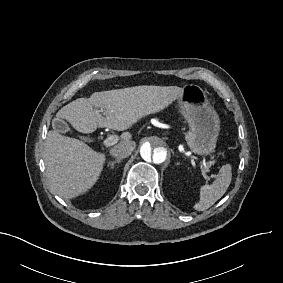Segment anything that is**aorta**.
<instances>
[{
	"label": "aorta",
	"mask_w": 283,
	"mask_h": 283,
	"mask_svg": "<svg viewBox=\"0 0 283 283\" xmlns=\"http://www.w3.org/2000/svg\"><path fill=\"white\" fill-rule=\"evenodd\" d=\"M169 146L166 140L157 135H149L142 139L140 156L144 165L148 167H160L169 159Z\"/></svg>",
	"instance_id": "1"
}]
</instances>
